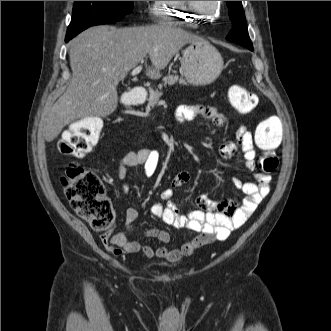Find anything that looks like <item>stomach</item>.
<instances>
[{"label":"stomach","mask_w":331,"mask_h":331,"mask_svg":"<svg viewBox=\"0 0 331 331\" xmlns=\"http://www.w3.org/2000/svg\"><path fill=\"white\" fill-rule=\"evenodd\" d=\"M180 62L182 76L196 86L212 83L224 66L221 54L206 40L190 43L183 51Z\"/></svg>","instance_id":"1"}]
</instances>
